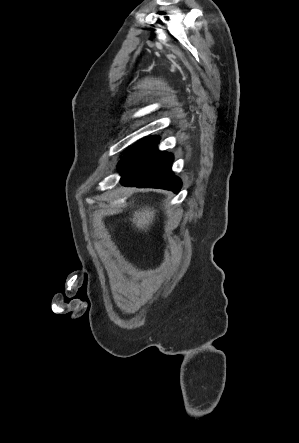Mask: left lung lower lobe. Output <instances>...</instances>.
Instances as JSON below:
<instances>
[{
    "label": "left lung lower lobe",
    "mask_w": 299,
    "mask_h": 443,
    "mask_svg": "<svg viewBox=\"0 0 299 443\" xmlns=\"http://www.w3.org/2000/svg\"><path fill=\"white\" fill-rule=\"evenodd\" d=\"M158 142L156 136L147 137L139 140L125 153L118 164L122 185L179 192L181 181L171 171L173 156L158 151Z\"/></svg>",
    "instance_id": "0a47b994"
}]
</instances>
